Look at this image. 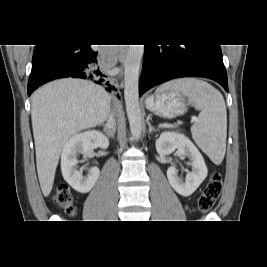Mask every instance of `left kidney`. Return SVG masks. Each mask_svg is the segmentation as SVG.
Returning <instances> with one entry per match:
<instances>
[{
    "instance_id": "5707ae66",
    "label": "left kidney",
    "mask_w": 267,
    "mask_h": 267,
    "mask_svg": "<svg viewBox=\"0 0 267 267\" xmlns=\"http://www.w3.org/2000/svg\"><path fill=\"white\" fill-rule=\"evenodd\" d=\"M156 150L159 154L168 155L176 149L181 156L190 159L192 172L186 175L185 180L177 175L174 165L167 170V178L173 189L182 196H190L207 177L208 170L203 156L186 136L175 132H163L156 140Z\"/></svg>"
}]
</instances>
